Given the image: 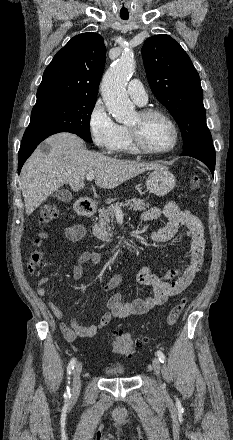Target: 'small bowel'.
<instances>
[{
	"label": "small bowel",
	"mask_w": 233,
	"mask_h": 440,
	"mask_svg": "<svg viewBox=\"0 0 233 440\" xmlns=\"http://www.w3.org/2000/svg\"><path fill=\"white\" fill-rule=\"evenodd\" d=\"M164 216L166 224L150 234L151 241L157 244L170 241L178 232L179 227L185 228V236L190 245V258L187 265L182 269H171L163 276L151 272L148 266H143L136 274L137 281L142 285L152 288L151 295L137 298L130 302H123L120 294L112 295L107 301V311L102 315L97 324H83L74 318L65 323L64 313L55 302H49L48 307L52 314L60 321V329L64 337L73 341L77 338L94 336L99 330L105 328L114 318H127L132 315H143L153 308L163 305L171 296L183 292L192 282L195 275L200 271L205 255L206 240L204 228L194 214L181 208L176 202H168L163 210L152 207L143 212L141 218L150 222ZM63 235L72 243L78 242L85 235V228L80 224H73L62 230ZM46 233H40L38 239L45 240ZM101 260L100 254L95 251L82 252L72 268L71 277L79 280L83 277L87 267L97 265ZM123 281V275L116 273L110 276L103 285V291H111L117 288ZM47 278L41 277L38 281L37 294L41 297L47 295Z\"/></svg>",
	"instance_id": "obj_1"
}]
</instances>
